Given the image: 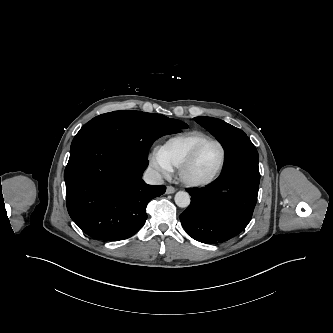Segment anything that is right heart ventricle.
<instances>
[{"label":"right heart ventricle","instance_id":"1","mask_svg":"<svg viewBox=\"0 0 333 333\" xmlns=\"http://www.w3.org/2000/svg\"><path fill=\"white\" fill-rule=\"evenodd\" d=\"M207 138L209 136L201 131L184 132L167 139L159 147V151L173 168H179L193 148Z\"/></svg>","mask_w":333,"mask_h":333}]
</instances>
